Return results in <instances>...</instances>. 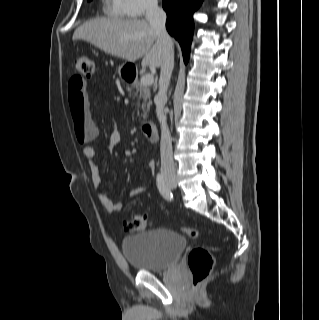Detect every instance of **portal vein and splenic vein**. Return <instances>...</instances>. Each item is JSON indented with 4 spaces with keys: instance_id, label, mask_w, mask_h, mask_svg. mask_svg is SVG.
I'll list each match as a JSON object with an SVG mask.
<instances>
[{
    "instance_id": "18ae733b",
    "label": "portal vein and splenic vein",
    "mask_w": 319,
    "mask_h": 320,
    "mask_svg": "<svg viewBox=\"0 0 319 320\" xmlns=\"http://www.w3.org/2000/svg\"><path fill=\"white\" fill-rule=\"evenodd\" d=\"M154 82V76L152 74H146L141 78V83L145 86L152 85Z\"/></svg>"
}]
</instances>
